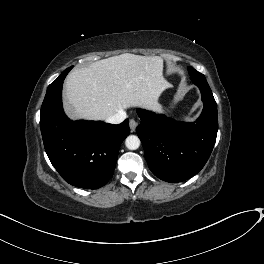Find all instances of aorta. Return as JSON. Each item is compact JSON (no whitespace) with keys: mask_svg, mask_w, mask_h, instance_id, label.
Wrapping results in <instances>:
<instances>
[{"mask_svg":"<svg viewBox=\"0 0 264 264\" xmlns=\"http://www.w3.org/2000/svg\"><path fill=\"white\" fill-rule=\"evenodd\" d=\"M125 145L129 150H136L140 146V140L135 135H129L125 140Z\"/></svg>","mask_w":264,"mask_h":264,"instance_id":"aorta-1","label":"aorta"}]
</instances>
